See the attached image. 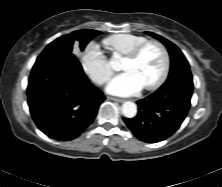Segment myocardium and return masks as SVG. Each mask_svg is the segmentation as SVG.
<instances>
[{"label": "myocardium", "mask_w": 222, "mask_h": 187, "mask_svg": "<svg viewBox=\"0 0 222 187\" xmlns=\"http://www.w3.org/2000/svg\"><path fill=\"white\" fill-rule=\"evenodd\" d=\"M148 46L158 47L161 50V52L163 54V59H164L163 68H162L160 76L154 82L143 87L145 90H154V89L160 87L165 82V80L167 79V76L169 74L170 65H171V58H170V54H169V51L166 48V46L157 40H147V41L143 42L142 44H140L139 46H137L129 54H127L125 56V59H128L130 61L137 60L141 56L142 52Z\"/></svg>", "instance_id": "obj_1"}]
</instances>
